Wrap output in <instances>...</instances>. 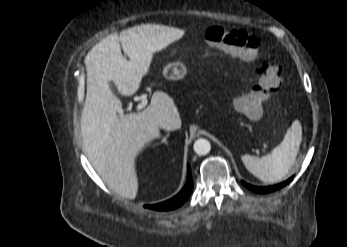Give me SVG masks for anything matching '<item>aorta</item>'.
<instances>
[{"label": "aorta", "instance_id": "obj_1", "mask_svg": "<svg viewBox=\"0 0 347 247\" xmlns=\"http://www.w3.org/2000/svg\"><path fill=\"white\" fill-rule=\"evenodd\" d=\"M193 149L199 156L207 155L211 150L210 142L207 139H197L194 143Z\"/></svg>", "mask_w": 347, "mask_h": 247}]
</instances>
